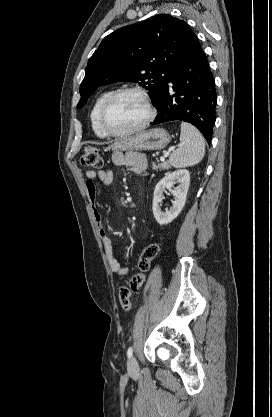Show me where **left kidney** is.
Returning a JSON list of instances; mask_svg holds the SVG:
<instances>
[{
    "instance_id": "left-kidney-1",
    "label": "left kidney",
    "mask_w": 272,
    "mask_h": 417,
    "mask_svg": "<svg viewBox=\"0 0 272 417\" xmlns=\"http://www.w3.org/2000/svg\"><path fill=\"white\" fill-rule=\"evenodd\" d=\"M178 182L179 186L173 189V185ZM190 183V173L186 169H180L166 174L156 185L153 197V214L160 225L169 224L182 211L187 197ZM167 189L174 196L172 207L169 211L163 212L160 207L163 191Z\"/></svg>"
}]
</instances>
